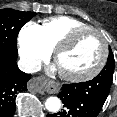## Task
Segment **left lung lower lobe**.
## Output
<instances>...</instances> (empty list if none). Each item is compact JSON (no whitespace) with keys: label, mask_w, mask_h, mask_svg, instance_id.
<instances>
[{"label":"left lung lower lobe","mask_w":117,"mask_h":117,"mask_svg":"<svg viewBox=\"0 0 117 117\" xmlns=\"http://www.w3.org/2000/svg\"><path fill=\"white\" fill-rule=\"evenodd\" d=\"M94 79L75 84H65L58 97L64 104V109L47 117H96L101 111L110 92V74L102 71Z\"/></svg>","instance_id":"obj_1"}]
</instances>
